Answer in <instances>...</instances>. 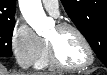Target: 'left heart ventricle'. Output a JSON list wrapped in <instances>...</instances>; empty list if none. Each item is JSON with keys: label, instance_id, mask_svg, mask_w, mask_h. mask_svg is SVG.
<instances>
[{"label": "left heart ventricle", "instance_id": "b2bd125f", "mask_svg": "<svg viewBox=\"0 0 107 75\" xmlns=\"http://www.w3.org/2000/svg\"><path fill=\"white\" fill-rule=\"evenodd\" d=\"M47 39L54 43L58 56L64 64L78 66L86 62L87 51L75 32L58 31L55 27Z\"/></svg>", "mask_w": 107, "mask_h": 75}]
</instances>
